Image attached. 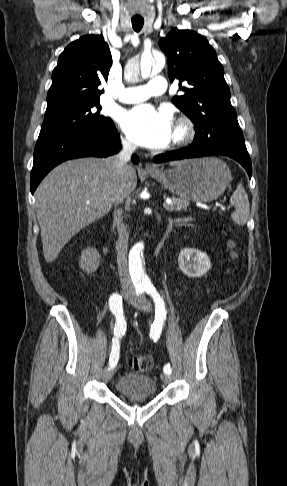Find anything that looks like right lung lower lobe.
<instances>
[{
    "label": "right lung lower lobe",
    "instance_id": "obj_1",
    "mask_svg": "<svg viewBox=\"0 0 287 486\" xmlns=\"http://www.w3.org/2000/svg\"><path fill=\"white\" fill-rule=\"evenodd\" d=\"M119 134L113 122L105 129L89 135H68L37 140L31 171V193L33 194L45 175L58 164L74 158L87 156L107 157L120 149ZM132 161L138 163L136 155Z\"/></svg>",
    "mask_w": 287,
    "mask_h": 486
}]
</instances>
